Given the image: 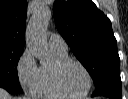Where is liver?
<instances>
[{
    "label": "liver",
    "mask_w": 128,
    "mask_h": 99,
    "mask_svg": "<svg viewBox=\"0 0 128 99\" xmlns=\"http://www.w3.org/2000/svg\"><path fill=\"white\" fill-rule=\"evenodd\" d=\"M0 99H12V97L4 89L0 88Z\"/></svg>",
    "instance_id": "liver-1"
}]
</instances>
